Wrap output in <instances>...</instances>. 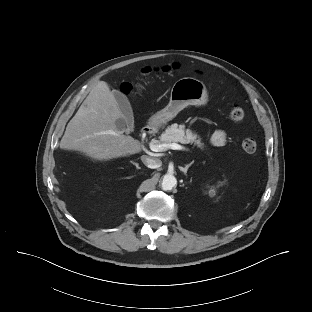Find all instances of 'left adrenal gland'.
Wrapping results in <instances>:
<instances>
[{
	"label": "left adrenal gland",
	"mask_w": 312,
	"mask_h": 312,
	"mask_svg": "<svg viewBox=\"0 0 312 312\" xmlns=\"http://www.w3.org/2000/svg\"><path fill=\"white\" fill-rule=\"evenodd\" d=\"M193 164V161L191 163H189L188 165H186L184 168L183 167H180V170L185 174L187 175V171L189 169V167Z\"/></svg>",
	"instance_id": "a2214340"
}]
</instances>
